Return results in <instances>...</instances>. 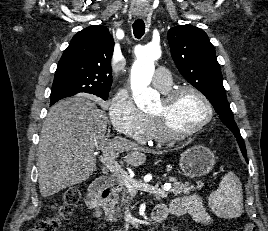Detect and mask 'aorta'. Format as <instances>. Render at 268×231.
<instances>
[{
  "instance_id": "762f6f07",
  "label": "aorta",
  "mask_w": 268,
  "mask_h": 231,
  "mask_svg": "<svg viewBox=\"0 0 268 231\" xmlns=\"http://www.w3.org/2000/svg\"><path fill=\"white\" fill-rule=\"evenodd\" d=\"M161 56L158 44H147L139 54L131 69V89L133 99L140 110H147L159 97V93L149 85L155 70L154 62Z\"/></svg>"
}]
</instances>
